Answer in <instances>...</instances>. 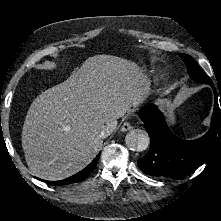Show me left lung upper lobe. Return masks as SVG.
<instances>
[{
	"mask_svg": "<svg viewBox=\"0 0 221 221\" xmlns=\"http://www.w3.org/2000/svg\"><path fill=\"white\" fill-rule=\"evenodd\" d=\"M179 56L185 62L190 77L200 83L209 84L211 79L205 74V72L199 67L197 62L189 55L180 53Z\"/></svg>",
	"mask_w": 221,
	"mask_h": 221,
	"instance_id": "1",
	"label": "left lung upper lobe"
}]
</instances>
